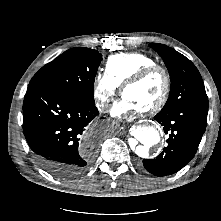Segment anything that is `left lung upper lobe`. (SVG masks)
I'll return each instance as SVG.
<instances>
[{
  "instance_id": "1",
  "label": "left lung upper lobe",
  "mask_w": 221,
  "mask_h": 221,
  "mask_svg": "<svg viewBox=\"0 0 221 221\" xmlns=\"http://www.w3.org/2000/svg\"><path fill=\"white\" fill-rule=\"evenodd\" d=\"M149 46L163 58L171 78L170 94L161 111L190 102L208 104L202 77L188 58L163 44L151 43Z\"/></svg>"
}]
</instances>
